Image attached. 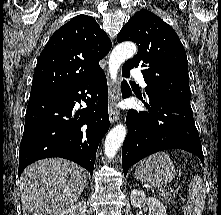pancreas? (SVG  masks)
Listing matches in <instances>:
<instances>
[{
	"instance_id": "cf45deb5",
	"label": "pancreas",
	"mask_w": 221,
	"mask_h": 215,
	"mask_svg": "<svg viewBox=\"0 0 221 215\" xmlns=\"http://www.w3.org/2000/svg\"><path fill=\"white\" fill-rule=\"evenodd\" d=\"M164 201H165L166 204H170L171 199L167 198V197H164Z\"/></svg>"
}]
</instances>
